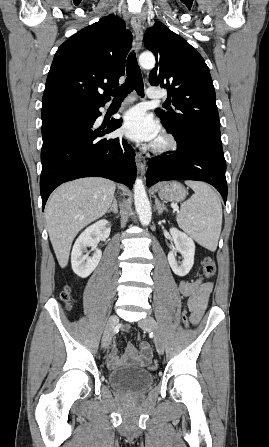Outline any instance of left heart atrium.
<instances>
[{
    "label": "left heart atrium",
    "instance_id": "obj_1",
    "mask_svg": "<svg viewBox=\"0 0 269 447\" xmlns=\"http://www.w3.org/2000/svg\"><path fill=\"white\" fill-rule=\"evenodd\" d=\"M121 132L133 141L154 142L160 136L161 128L151 114L137 106L122 115Z\"/></svg>",
    "mask_w": 269,
    "mask_h": 447
}]
</instances>
